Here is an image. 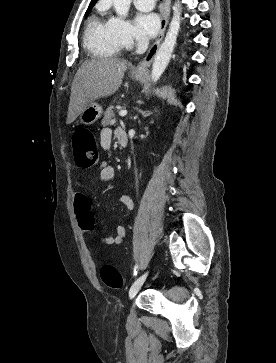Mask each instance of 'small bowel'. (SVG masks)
I'll list each match as a JSON object with an SVG mask.
<instances>
[{"label":"small bowel","mask_w":276,"mask_h":363,"mask_svg":"<svg viewBox=\"0 0 276 363\" xmlns=\"http://www.w3.org/2000/svg\"><path fill=\"white\" fill-rule=\"evenodd\" d=\"M120 132H125L124 129L118 128L115 130L114 135L117 138ZM113 139V132L110 128H104L100 134V143L104 150H108L111 146ZM118 139V138H117ZM115 170L114 167L106 162L99 164V178L101 181L109 182L114 179ZM84 183V179L79 177L76 179V185L81 187ZM120 203H122L128 210L134 209V201L128 195H121L119 197ZM74 207L78 214H82V219L92 223L91 228L84 230L86 233L91 234L94 230V219L91 212V201L88 196L81 192L76 191L74 193ZM126 236V229L122 225H118L114 236H102L98 238V241L105 245H117L121 244Z\"/></svg>","instance_id":"1"}]
</instances>
